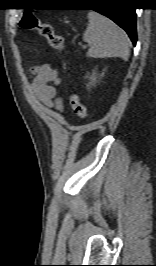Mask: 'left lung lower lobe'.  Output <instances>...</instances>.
I'll return each mask as SVG.
<instances>
[{"label": "left lung lower lobe", "instance_id": "0a47b994", "mask_svg": "<svg viewBox=\"0 0 156 266\" xmlns=\"http://www.w3.org/2000/svg\"><path fill=\"white\" fill-rule=\"evenodd\" d=\"M110 2L113 0H90L89 4L94 6L90 9L109 17L123 28L135 45L137 41L135 8L128 7L124 0H120L119 5H113Z\"/></svg>", "mask_w": 156, "mask_h": 266}]
</instances>
